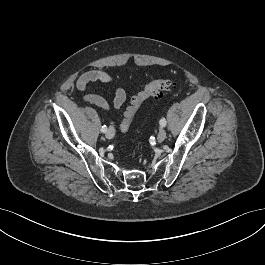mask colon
I'll list each match as a JSON object with an SVG mask.
<instances>
[{
	"instance_id": "5ec220e1",
	"label": "colon",
	"mask_w": 265,
	"mask_h": 265,
	"mask_svg": "<svg viewBox=\"0 0 265 265\" xmlns=\"http://www.w3.org/2000/svg\"><path fill=\"white\" fill-rule=\"evenodd\" d=\"M175 88L176 84L171 79L150 78L143 90L132 97L130 106L126 109L121 123L122 131H127L130 128L133 116L143 101L149 98L160 97L165 92L174 91Z\"/></svg>"
}]
</instances>
